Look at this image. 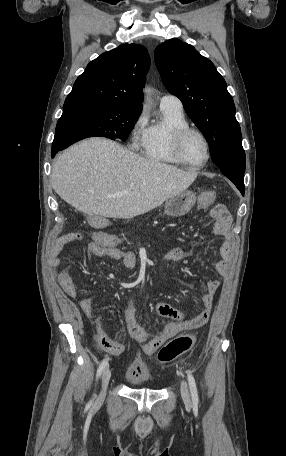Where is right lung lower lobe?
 Instances as JSON below:
<instances>
[{
    "label": "right lung lower lobe",
    "mask_w": 286,
    "mask_h": 456,
    "mask_svg": "<svg viewBox=\"0 0 286 456\" xmlns=\"http://www.w3.org/2000/svg\"><path fill=\"white\" fill-rule=\"evenodd\" d=\"M59 150H61L59 147L53 145L51 150V157L53 158Z\"/></svg>",
    "instance_id": "1"
}]
</instances>
